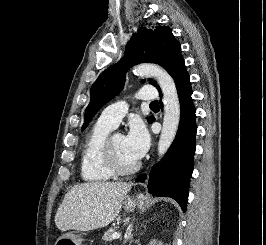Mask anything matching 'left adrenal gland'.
I'll use <instances>...</instances> for the list:
<instances>
[{"label": "left adrenal gland", "mask_w": 266, "mask_h": 245, "mask_svg": "<svg viewBox=\"0 0 266 245\" xmlns=\"http://www.w3.org/2000/svg\"><path fill=\"white\" fill-rule=\"evenodd\" d=\"M133 237L134 235H132V227H128L125 235V243H127V241H130V239H133Z\"/></svg>", "instance_id": "obj_1"}]
</instances>
